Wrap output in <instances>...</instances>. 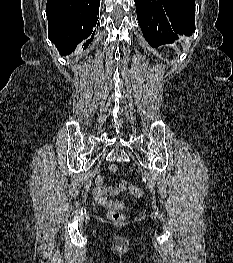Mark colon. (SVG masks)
Instances as JSON below:
<instances>
[{"instance_id":"obj_1","label":"colon","mask_w":233,"mask_h":263,"mask_svg":"<svg viewBox=\"0 0 233 263\" xmlns=\"http://www.w3.org/2000/svg\"><path fill=\"white\" fill-rule=\"evenodd\" d=\"M110 171L116 172L117 166L111 165ZM117 189L119 191L128 189L130 193L136 198H143L145 196V191L143 189L134 187L132 184H130L128 181H125V180H122L117 184ZM107 214H108V217L116 224H121L125 220L123 213L120 212L119 210L110 209L108 210Z\"/></svg>"}]
</instances>
